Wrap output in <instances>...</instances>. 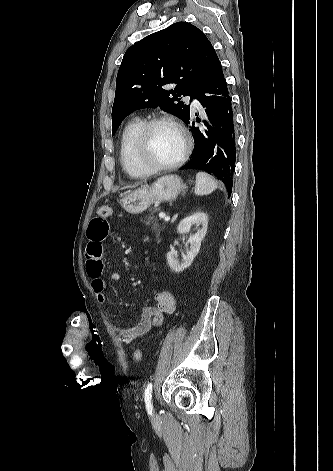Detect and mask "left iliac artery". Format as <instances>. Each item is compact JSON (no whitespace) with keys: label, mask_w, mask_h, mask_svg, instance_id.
<instances>
[{"label":"left iliac artery","mask_w":333,"mask_h":471,"mask_svg":"<svg viewBox=\"0 0 333 471\" xmlns=\"http://www.w3.org/2000/svg\"><path fill=\"white\" fill-rule=\"evenodd\" d=\"M152 383H148L147 387L145 388V404L146 409L149 414H152L153 406H152Z\"/></svg>","instance_id":"left-iliac-artery-1"}]
</instances>
